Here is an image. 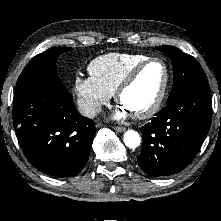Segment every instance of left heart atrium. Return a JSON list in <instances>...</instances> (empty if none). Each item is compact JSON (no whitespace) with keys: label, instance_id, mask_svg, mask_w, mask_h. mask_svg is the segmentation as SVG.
<instances>
[{"label":"left heart atrium","instance_id":"left-heart-atrium-1","mask_svg":"<svg viewBox=\"0 0 221 221\" xmlns=\"http://www.w3.org/2000/svg\"><path fill=\"white\" fill-rule=\"evenodd\" d=\"M127 112H128V111H127L124 107L120 106V107H119V110L116 112V118H117V119L125 118Z\"/></svg>","mask_w":221,"mask_h":221}]
</instances>
